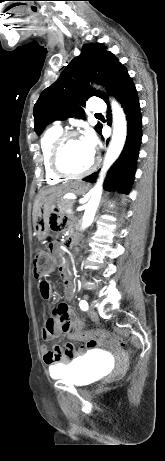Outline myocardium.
Segmentation results:
<instances>
[{
    "label": "myocardium",
    "mask_w": 165,
    "mask_h": 461,
    "mask_svg": "<svg viewBox=\"0 0 165 461\" xmlns=\"http://www.w3.org/2000/svg\"><path fill=\"white\" fill-rule=\"evenodd\" d=\"M74 137H79V133L76 131H65L62 132L53 142L50 153H49V166L50 169L54 174L60 177H65V178H81L84 177L91 172H93L99 162V159L97 156H94L91 164L83 171L81 172H70L66 170L60 161L61 158V153L62 149L65 145V143Z\"/></svg>",
    "instance_id": "myocardium-1"
}]
</instances>
